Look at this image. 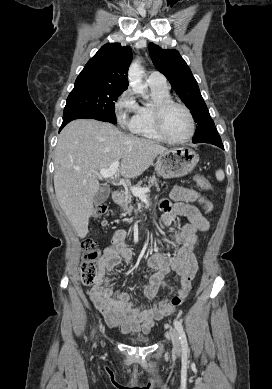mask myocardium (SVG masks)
Instances as JSON below:
<instances>
[{"label": "myocardium", "instance_id": "obj_1", "mask_svg": "<svg viewBox=\"0 0 272 389\" xmlns=\"http://www.w3.org/2000/svg\"><path fill=\"white\" fill-rule=\"evenodd\" d=\"M171 106H178V107L182 108L188 116L189 123H190V131H189L188 135L185 136L184 138H181V139L173 138V137L169 136L167 134V132L165 131L163 118H164L165 111ZM152 115H153L154 127H155L157 133L164 140H166L168 142L176 143V144L185 143V142H188L195 134L196 125H195V120H194L193 114H192L191 110L189 109V107L186 106L182 102H179V101H176V100H173L170 98L159 101L154 105Z\"/></svg>", "mask_w": 272, "mask_h": 389}]
</instances>
